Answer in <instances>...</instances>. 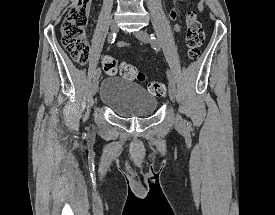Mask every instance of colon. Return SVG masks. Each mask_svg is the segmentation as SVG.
Segmentation results:
<instances>
[{"label":"colon","instance_id":"obj_1","mask_svg":"<svg viewBox=\"0 0 275 215\" xmlns=\"http://www.w3.org/2000/svg\"><path fill=\"white\" fill-rule=\"evenodd\" d=\"M91 3L92 0H76L75 4L69 8L61 25L62 44L71 58L81 65H85L89 59L86 26ZM186 24L185 44L187 55L190 59L196 60L205 39L204 28L192 11H188L186 14ZM101 64L104 73L107 75L116 74L120 67L124 78L139 82L145 80V74L132 64L122 63L119 65L118 61L112 57H105ZM147 89L156 97H162L167 92L166 85L156 80L150 81L147 84Z\"/></svg>","mask_w":275,"mask_h":215}]
</instances>
